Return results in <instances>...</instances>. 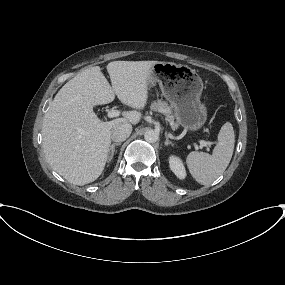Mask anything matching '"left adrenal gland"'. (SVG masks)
<instances>
[{"label":"left adrenal gland","instance_id":"1","mask_svg":"<svg viewBox=\"0 0 285 285\" xmlns=\"http://www.w3.org/2000/svg\"><path fill=\"white\" fill-rule=\"evenodd\" d=\"M165 138H166V141H165V146H174V144L168 139V135L167 133H165Z\"/></svg>","mask_w":285,"mask_h":285}]
</instances>
